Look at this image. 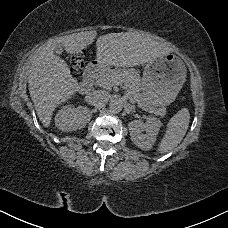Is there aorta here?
Wrapping results in <instances>:
<instances>
[{
    "label": "aorta",
    "instance_id": "obj_1",
    "mask_svg": "<svg viewBox=\"0 0 228 228\" xmlns=\"http://www.w3.org/2000/svg\"><path fill=\"white\" fill-rule=\"evenodd\" d=\"M109 109L112 113H119L122 110V104L117 100H111Z\"/></svg>",
    "mask_w": 228,
    "mask_h": 228
}]
</instances>
